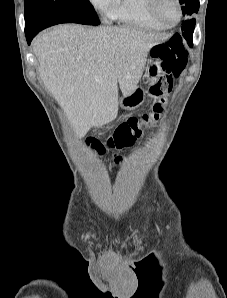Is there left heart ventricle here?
Wrapping results in <instances>:
<instances>
[{
	"mask_svg": "<svg viewBox=\"0 0 227 298\" xmlns=\"http://www.w3.org/2000/svg\"><path fill=\"white\" fill-rule=\"evenodd\" d=\"M159 12L168 22H175L178 18V7L174 0H161Z\"/></svg>",
	"mask_w": 227,
	"mask_h": 298,
	"instance_id": "obj_1",
	"label": "left heart ventricle"
}]
</instances>
